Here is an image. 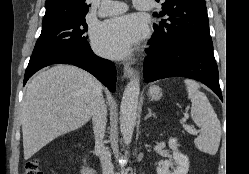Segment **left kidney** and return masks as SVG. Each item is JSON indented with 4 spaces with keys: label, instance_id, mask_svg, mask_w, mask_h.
<instances>
[{
    "label": "left kidney",
    "instance_id": "obj_1",
    "mask_svg": "<svg viewBox=\"0 0 249 174\" xmlns=\"http://www.w3.org/2000/svg\"><path fill=\"white\" fill-rule=\"evenodd\" d=\"M169 148L173 151L172 159L160 161L157 167V174H187L189 170L188 157L178 151V143L176 138L169 139ZM174 163L176 169L173 172L169 168H173Z\"/></svg>",
    "mask_w": 249,
    "mask_h": 174
}]
</instances>
